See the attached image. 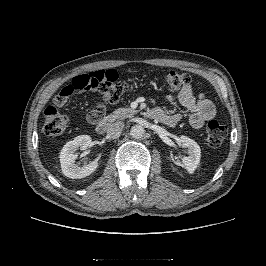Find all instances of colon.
<instances>
[{"instance_id": "5ec220e1", "label": "colon", "mask_w": 266, "mask_h": 266, "mask_svg": "<svg viewBox=\"0 0 266 266\" xmlns=\"http://www.w3.org/2000/svg\"><path fill=\"white\" fill-rule=\"evenodd\" d=\"M164 83L170 91L182 89L192 82V76L186 72L169 70L165 72ZM134 77L121 78L115 70H100L78 75L63 87L52 104L44 111V133L49 137L61 135L67 127V118L58 111L67 99L76 91L98 90L104 101L117 103L128 91ZM103 113V110L99 112ZM227 135L226 128L217 121H210L206 128V141L211 147H219Z\"/></svg>"}]
</instances>
